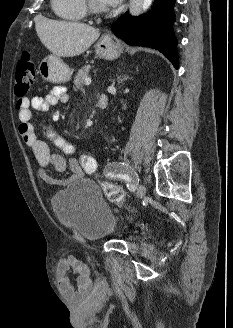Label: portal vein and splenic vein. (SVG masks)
Returning <instances> with one entry per match:
<instances>
[{"label": "portal vein and splenic vein", "mask_w": 233, "mask_h": 328, "mask_svg": "<svg viewBox=\"0 0 233 328\" xmlns=\"http://www.w3.org/2000/svg\"><path fill=\"white\" fill-rule=\"evenodd\" d=\"M91 78H86V80H85V85H89L90 83H91Z\"/></svg>", "instance_id": "1"}]
</instances>
